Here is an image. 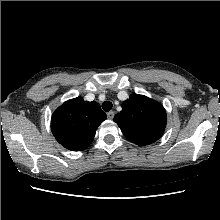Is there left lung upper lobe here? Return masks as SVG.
<instances>
[{
    "mask_svg": "<svg viewBox=\"0 0 220 220\" xmlns=\"http://www.w3.org/2000/svg\"><path fill=\"white\" fill-rule=\"evenodd\" d=\"M114 122L132 143L144 146L157 141L166 127L164 107L144 96L133 94L122 104V111Z\"/></svg>",
    "mask_w": 220,
    "mask_h": 220,
    "instance_id": "1",
    "label": "left lung upper lobe"
}]
</instances>
